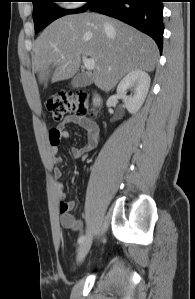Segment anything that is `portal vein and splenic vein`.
I'll use <instances>...</instances> for the list:
<instances>
[{
    "instance_id": "portal-vein-and-splenic-vein-1",
    "label": "portal vein and splenic vein",
    "mask_w": 195,
    "mask_h": 299,
    "mask_svg": "<svg viewBox=\"0 0 195 299\" xmlns=\"http://www.w3.org/2000/svg\"><path fill=\"white\" fill-rule=\"evenodd\" d=\"M84 66L87 70L91 71L95 67V60L92 58H87L85 56L82 57Z\"/></svg>"
}]
</instances>
